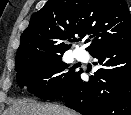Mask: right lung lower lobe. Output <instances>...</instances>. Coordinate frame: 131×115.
Segmentation results:
<instances>
[{"mask_svg": "<svg viewBox=\"0 0 131 115\" xmlns=\"http://www.w3.org/2000/svg\"><path fill=\"white\" fill-rule=\"evenodd\" d=\"M91 55L101 68L89 82L78 72L62 93L66 106L82 115H131V42Z\"/></svg>", "mask_w": 131, "mask_h": 115, "instance_id": "1", "label": "right lung lower lobe"}]
</instances>
